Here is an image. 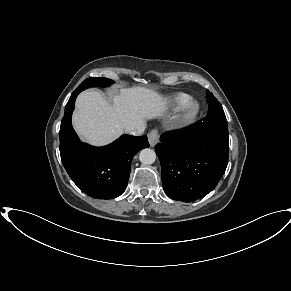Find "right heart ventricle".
I'll list each match as a JSON object with an SVG mask.
<instances>
[{"mask_svg":"<svg viewBox=\"0 0 291 291\" xmlns=\"http://www.w3.org/2000/svg\"><path fill=\"white\" fill-rule=\"evenodd\" d=\"M191 101V96L187 93L177 92L167 97L169 109L173 113H177L186 108Z\"/></svg>","mask_w":291,"mask_h":291,"instance_id":"e07e8e85","label":"right heart ventricle"}]
</instances>
